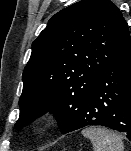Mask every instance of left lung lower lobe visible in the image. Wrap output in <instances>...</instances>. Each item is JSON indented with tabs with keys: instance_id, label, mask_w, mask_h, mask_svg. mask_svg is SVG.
<instances>
[{
	"instance_id": "0a47b994",
	"label": "left lung lower lobe",
	"mask_w": 131,
	"mask_h": 151,
	"mask_svg": "<svg viewBox=\"0 0 131 151\" xmlns=\"http://www.w3.org/2000/svg\"><path fill=\"white\" fill-rule=\"evenodd\" d=\"M88 126L122 132L131 141V49L100 74L66 133Z\"/></svg>"
}]
</instances>
